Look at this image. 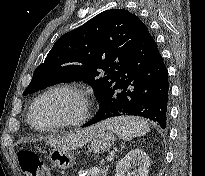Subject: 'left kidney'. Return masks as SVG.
Returning a JSON list of instances; mask_svg holds the SVG:
<instances>
[{
  "instance_id": "5707ae66",
  "label": "left kidney",
  "mask_w": 205,
  "mask_h": 176,
  "mask_svg": "<svg viewBox=\"0 0 205 176\" xmlns=\"http://www.w3.org/2000/svg\"><path fill=\"white\" fill-rule=\"evenodd\" d=\"M132 166H137V169L127 176H147L150 167L149 156L142 149L131 150L118 162L115 176H125L126 170Z\"/></svg>"
}]
</instances>
